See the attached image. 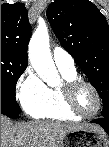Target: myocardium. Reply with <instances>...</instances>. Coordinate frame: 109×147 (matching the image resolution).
<instances>
[{"label": "myocardium", "mask_w": 109, "mask_h": 147, "mask_svg": "<svg viewBox=\"0 0 109 147\" xmlns=\"http://www.w3.org/2000/svg\"><path fill=\"white\" fill-rule=\"evenodd\" d=\"M81 86H87L96 97L97 105H96L95 110L91 114H84L78 108L76 96ZM60 91L64 97V101H65L67 108L77 117L86 118V119L92 118L96 114H98V112L101 109V96L98 90L93 84L84 80L83 78L76 76L72 79L66 80L64 84L62 85V87L60 88Z\"/></svg>", "instance_id": "f54148a6"}]
</instances>
